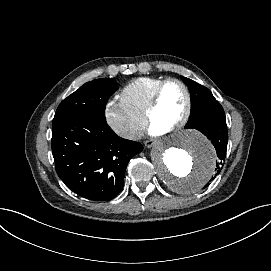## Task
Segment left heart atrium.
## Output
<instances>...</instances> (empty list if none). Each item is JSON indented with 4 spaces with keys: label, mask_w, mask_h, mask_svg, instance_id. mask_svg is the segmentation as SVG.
<instances>
[{
    "label": "left heart atrium",
    "mask_w": 271,
    "mask_h": 271,
    "mask_svg": "<svg viewBox=\"0 0 271 271\" xmlns=\"http://www.w3.org/2000/svg\"><path fill=\"white\" fill-rule=\"evenodd\" d=\"M149 132L152 136H159V135H162L164 134L166 131L159 128L158 126L154 125V124H151L150 126V129H149Z\"/></svg>",
    "instance_id": "obj_1"
}]
</instances>
